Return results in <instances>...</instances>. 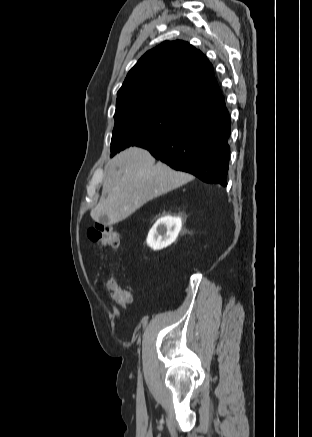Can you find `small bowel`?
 Here are the masks:
<instances>
[{
    "label": "small bowel",
    "instance_id": "obj_1",
    "mask_svg": "<svg viewBox=\"0 0 312 437\" xmlns=\"http://www.w3.org/2000/svg\"><path fill=\"white\" fill-rule=\"evenodd\" d=\"M130 300H131V298H130ZM110 312H111V319H112L113 328H114V330H118L119 321H120V312H119L118 308H116L115 306L110 307Z\"/></svg>",
    "mask_w": 312,
    "mask_h": 437
}]
</instances>
